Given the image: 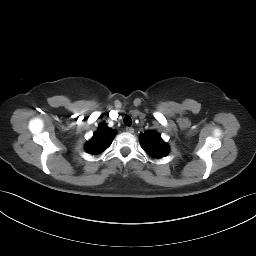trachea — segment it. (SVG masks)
Listing matches in <instances>:
<instances>
[{
	"instance_id": "1",
	"label": "trachea",
	"mask_w": 256,
	"mask_h": 256,
	"mask_svg": "<svg viewBox=\"0 0 256 256\" xmlns=\"http://www.w3.org/2000/svg\"><path fill=\"white\" fill-rule=\"evenodd\" d=\"M124 124H125L126 126H131V124H132V119H131V117L126 116V117L124 118Z\"/></svg>"
}]
</instances>
